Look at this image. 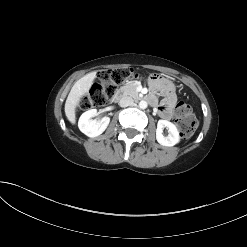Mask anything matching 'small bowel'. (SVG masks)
<instances>
[{
    "mask_svg": "<svg viewBox=\"0 0 247 247\" xmlns=\"http://www.w3.org/2000/svg\"><path fill=\"white\" fill-rule=\"evenodd\" d=\"M150 87L155 92H162L164 94L163 101L159 105V114L164 119H170L173 115V109L176 104V94L172 83L162 78L159 74H152L150 76ZM153 98L152 105L158 104V99L155 94H150Z\"/></svg>",
    "mask_w": 247,
    "mask_h": 247,
    "instance_id": "small-bowel-1",
    "label": "small bowel"
}]
</instances>
